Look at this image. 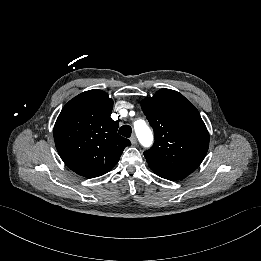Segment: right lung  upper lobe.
<instances>
[{"mask_svg": "<svg viewBox=\"0 0 261 261\" xmlns=\"http://www.w3.org/2000/svg\"><path fill=\"white\" fill-rule=\"evenodd\" d=\"M113 100L102 90H89L70 100L54 126L56 148L63 162L84 177H98L119 161L130 141L117 133L111 119Z\"/></svg>", "mask_w": 261, "mask_h": 261, "instance_id": "cb5924a9", "label": "right lung upper lobe"}]
</instances>
